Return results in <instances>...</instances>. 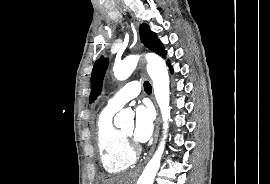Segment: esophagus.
I'll list each match as a JSON object with an SVG mask.
<instances>
[{
	"label": "esophagus",
	"mask_w": 270,
	"mask_h": 184,
	"mask_svg": "<svg viewBox=\"0 0 270 184\" xmlns=\"http://www.w3.org/2000/svg\"><path fill=\"white\" fill-rule=\"evenodd\" d=\"M155 106H156V109H157V119H156V123H155L154 141H153V146H152V148L150 150V153H149V156H148L147 160L151 157V155L154 152V149H155V146H156V143H157V139H158V135H159L160 116H159V111H158L156 103H155Z\"/></svg>",
	"instance_id": "esophagus-1"
}]
</instances>
